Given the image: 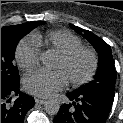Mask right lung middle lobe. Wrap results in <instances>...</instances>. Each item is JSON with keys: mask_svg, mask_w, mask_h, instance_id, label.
I'll list each match as a JSON object with an SVG mask.
<instances>
[{"mask_svg": "<svg viewBox=\"0 0 123 123\" xmlns=\"http://www.w3.org/2000/svg\"><path fill=\"white\" fill-rule=\"evenodd\" d=\"M42 24L45 22L34 21L1 28V82L20 84L18 69L13 64L16 46L23 36Z\"/></svg>", "mask_w": 123, "mask_h": 123, "instance_id": "right-lung-middle-lobe-1", "label": "right lung middle lobe"}]
</instances>
